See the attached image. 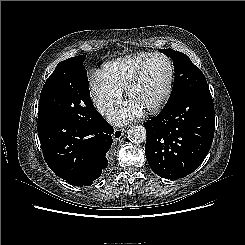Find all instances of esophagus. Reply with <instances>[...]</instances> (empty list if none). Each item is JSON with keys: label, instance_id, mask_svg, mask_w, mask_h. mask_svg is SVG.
I'll use <instances>...</instances> for the list:
<instances>
[{"label": "esophagus", "instance_id": "esophagus-1", "mask_svg": "<svg viewBox=\"0 0 245 245\" xmlns=\"http://www.w3.org/2000/svg\"><path fill=\"white\" fill-rule=\"evenodd\" d=\"M124 135V129H115L114 133H113V138L114 140H119L120 138H122V136Z\"/></svg>", "mask_w": 245, "mask_h": 245}]
</instances>
